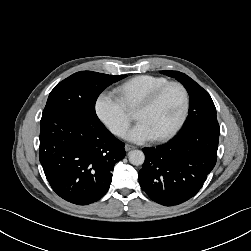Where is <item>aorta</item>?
I'll use <instances>...</instances> for the list:
<instances>
[{"label":"aorta","mask_w":251,"mask_h":251,"mask_svg":"<svg viewBox=\"0 0 251 251\" xmlns=\"http://www.w3.org/2000/svg\"><path fill=\"white\" fill-rule=\"evenodd\" d=\"M145 155L141 150H132L129 153V161L132 165L139 166L144 163Z\"/></svg>","instance_id":"aorta-1"}]
</instances>
